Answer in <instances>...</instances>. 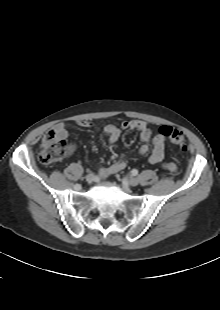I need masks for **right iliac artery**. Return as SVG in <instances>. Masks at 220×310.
I'll use <instances>...</instances> for the list:
<instances>
[{"instance_id":"right-iliac-artery-1","label":"right iliac artery","mask_w":220,"mask_h":310,"mask_svg":"<svg viewBox=\"0 0 220 310\" xmlns=\"http://www.w3.org/2000/svg\"><path fill=\"white\" fill-rule=\"evenodd\" d=\"M74 188H75L76 190H80V189H81V185H80V184H76V185L74 186Z\"/></svg>"}]
</instances>
